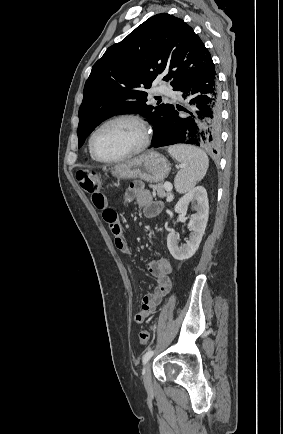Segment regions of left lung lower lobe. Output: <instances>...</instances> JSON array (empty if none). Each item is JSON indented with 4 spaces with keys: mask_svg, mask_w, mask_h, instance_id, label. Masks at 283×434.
I'll list each match as a JSON object with an SVG mask.
<instances>
[{
    "mask_svg": "<svg viewBox=\"0 0 283 434\" xmlns=\"http://www.w3.org/2000/svg\"><path fill=\"white\" fill-rule=\"evenodd\" d=\"M176 91L183 92L182 97L190 100L192 112L177 109L191 116H182L174 110L165 131L153 146L186 143L210 148L216 153L221 133V93L213 61L210 60Z\"/></svg>",
    "mask_w": 283,
    "mask_h": 434,
    "instance_id": "1",
    "label": "left lung lower lobe"
}]
</instances>
